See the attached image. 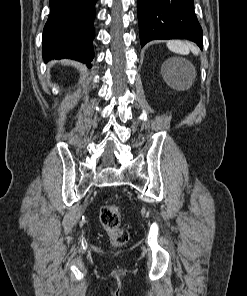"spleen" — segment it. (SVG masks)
<instances>
[{
  "instance_id": "obj_1",
  "label": "spleen",
  "mask_w": 247,
  "mask_h": 296,
  "mask_svg": "<svg viewBox=\"0 0 247 296\" xmlns=\"http://www.w3.org/2000/svg\"><path fill=\"white\" fill-rule=\"evenodd\" d=\"M167 47L174 53L187 55L191 51L193 54L198 55L199 51L192 43L185 41L172 40L167 42Z\"/></svg>"
}]
</instances>
